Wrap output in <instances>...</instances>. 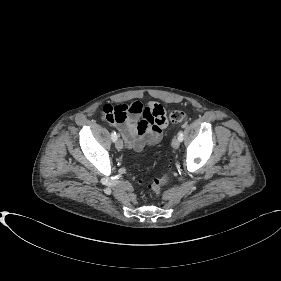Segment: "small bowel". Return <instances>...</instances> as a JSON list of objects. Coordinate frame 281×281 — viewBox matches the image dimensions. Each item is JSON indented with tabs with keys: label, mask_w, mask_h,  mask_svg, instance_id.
Segmentation results:
<instances>
[{
	"label": "small bowel",
	"mask_w": 281,
	"mask_h": 281,
	"mask_svg": "<svg viewBox=\"0 0 281 281\" xmlns=\"http://www.w3.org/2000/svg\"><path fill=\"white\" fill-rule=\"evenodd\" d=\"M166 114L162 105L149 101L145 107L139 103V111L129 113L124 122L108 121L121 133L128 148L141 150L161 140L162 131L167 126Z\"/></svg>",
	"instance_id": "small-bowel-1"
}]
</instances>
